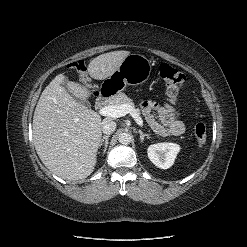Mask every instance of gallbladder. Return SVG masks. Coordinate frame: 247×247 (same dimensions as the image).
Segmentation results:
<instances>
[{"mask_svg":"<svg viewBox=\"0 0 247 247\" xmlns=\"http://www.w3.org/2000/svg\"><path fill=\"white\" fill-rule=\"evenodd\" d=\"M68 79L65 77L64 78V81H63V83H62V87L77 101V102H79V103H81V104H83V105H85L86 107H90V103L87 101V100H84V99H80V98H78V97H76V96H74L70 91H69V89H68Z\"/></svg>","mask_w":247,"mask_h":247,"instance_id":"bac80fb5","label":"gallbladder"}]
</instances>
